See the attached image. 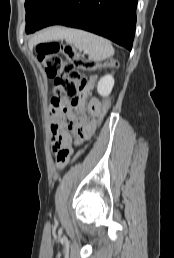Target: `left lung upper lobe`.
I'll return each instance as SVG.
<instances>
[{
  "label": "left lung upper lobe",
  "mask_w": 174,
  "mask_h": 258,
  "mask_svg": "<svg viewBox=\"0 0 174 258\" xmlns=\"http://www.w3.org/2000/svg\"><path fill=\"white\" fill-rule=\"evenodd\" d=\"M60 0H26V33L35 32Z\"/></svg>",
  "instance_id": "left-lung-upper-lobe-1"
}]
</instances>
